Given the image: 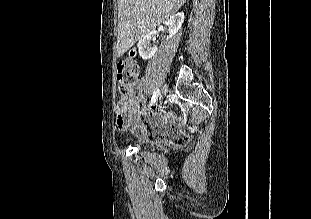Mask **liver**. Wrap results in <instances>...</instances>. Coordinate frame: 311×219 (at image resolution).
I'll list each match as a JSON object with an SVG mask.
<instances>
[{
    "label": "liver",
    "instance_id": "liver-1",
    "mask_svg": "<svg viewBox=\"0 0 311 219\" xmlns=\"http://www.w3.org/2000/svg\"><path fill=\"white\" fill-rule=\"evenodd\" d=\"M186 0H118L117 56L175 14Z\"/></svg>",
    "mask_w": 311,
    "mask_h": 219
}]
</instances>
